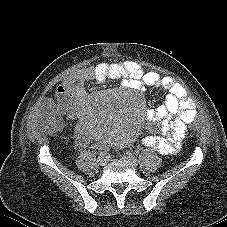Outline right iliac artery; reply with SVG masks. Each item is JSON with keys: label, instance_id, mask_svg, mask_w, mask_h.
<instances>
[{"label": "right iliac artery", "instance_id": "82829eb1", "mask_svg": "<svg viewBox=\"0 0 227 227\" xmlns=\"http://www.w3.org/2000/svg\"><path fill=\"white\" fill-rule=\"evenodd\" d=\"M107 154H108V150L106 149L100 152V156H105Z\"/></svg>", "mask_w": 227, "mask_h": 227}]
</instances>
